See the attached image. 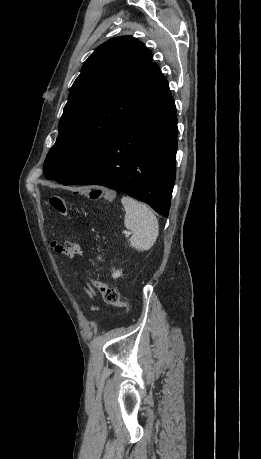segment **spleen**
<instances>
[{
  "mask_svg": "<svg viewBox=\"0 0 261 459\" xmlns=\"http://www.w3.org/2000/svg\"><path fill=\"white\" fill-rule=\"evenodd\" d=\"M121 202L125 209L124 225L132 232L130 246L139 251L149 250L159 234L158 220L154 212L145 204L128 196H123Z\"/></svg>",
  "mask_w": 261,
  "mask_h": 459,
  "instance_id": "1",
  "label": "spleen"
}]
</instances>
